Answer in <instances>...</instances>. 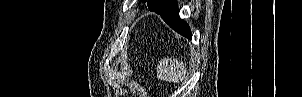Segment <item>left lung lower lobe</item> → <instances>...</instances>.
I'll return each instance as SVG.
<instances>
[{"label": "left lung lower lobe", "mask_w": 302, "mask_h": 97, "mask_svg": "<svg viewBox=\"0 0 302 97\" xmlns=\"http://www.w3.org/2000/svg\"><path fill=\"white\" fill-rule=\"evenodd\" d=\"M147 5L150 11L160 14L172 29L191 39L189 26L179 17L175 0H148Z\"/></svg>", "instance_id": "0a47b994"}]
</instances>
